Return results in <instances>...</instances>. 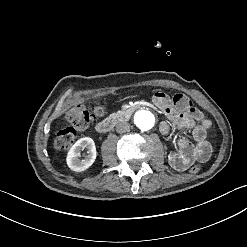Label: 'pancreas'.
<instances>
[{
  "instance_id": "1",
  "label": "pancreas",
  "mask_w": 247,
  "mask_h": 247,
  "mask_svg": "<svg viewBox=\"0 0 247 247\" xmlns=\"http://www.w3.org/2000/svg\"><path fill=\"white\" fill-rule=\"evenodd\" d=\"M119 116V113L118 112H113V113H110L108 118L110 120H115L117 117Z\"/></svg>"
}]
</instances>
